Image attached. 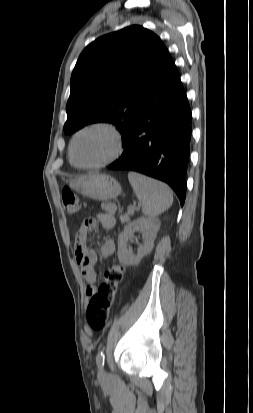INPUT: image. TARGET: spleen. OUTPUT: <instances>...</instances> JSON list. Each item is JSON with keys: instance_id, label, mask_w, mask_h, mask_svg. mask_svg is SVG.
I'll return each instance as SVG.
<instances>
[{"instance_id": "obj_1", "label": "spleen", "mask_w": 253, "mask_h": 413, "mask_svg": "<svg viewBox=\"0 0 253 413\" xmlns=\"http://www.w3.org/2000/svg\"><path fill=\"white\" fill-rule=\"evenodd\" d=\"M128 179L137 198L142 202L144 215L154 218L172 205L173 194L166 184L137 172H129Z\"/></svg>"}]
</instances>
